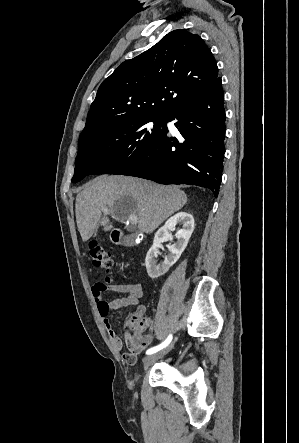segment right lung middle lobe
Segmentation results:
<instances>
[{
	"label": "right lung middle lobe",
	"instance_id": "dd1d6c3e",
	"mask_svg": "<svg viewBox=\"0 0 299 443\" xmlns=\"http://www.w3.org/2000/svg\"><path fill=\"white\" fill-rule=\"evenodd\" d=\"M166 131L165 117H143L115 123L80 138L72 182L90 174L115 173L144 156Z\"/></svg>",
	"mask_w": 299,
	"mask_h": 443
}]
</instances>
